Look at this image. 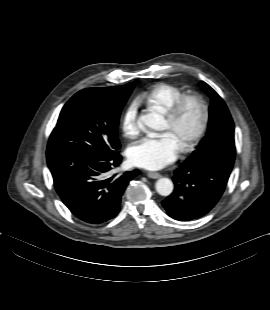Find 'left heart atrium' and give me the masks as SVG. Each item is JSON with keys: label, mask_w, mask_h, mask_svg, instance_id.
I'll return each mask as SVG.
<instances>
[{"label": "left heart atrium", "mask_w": 270, "mask_h": 310, "mask_svg": "<svg viewBox=\"0 0 270 310\" xmlns=\"http://www.w3.org/2000/svg\"><path fill=\"white\" fill-rule=\"evenodd\" d=\"M181 147L169 133L146 137L132 145L128 152L129 162L147 170H157L175 161Z\"/></svg>", "instance_id": "obj_1"}]
</instances>
